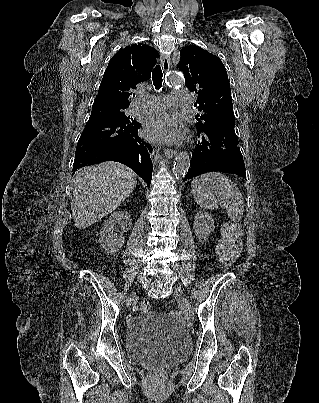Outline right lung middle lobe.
Masks as SVG:
<instances>
[{"instance_id": "obj_1", "label": "right lung middle lobe", "mask_w": 319, "mask_h": 403, "mask_svg": "<svg viewBox=\"0 0 319 403\" xmlns=\"http://www.w3.org/2000/svg\"><path fill=\"white\" fill-rule=\"evenodd\" d=\"M125 108L127 107L93 104L89 120L110 119L127 122L129 117L122 112Z\"/></svg>"}]
</instances>
